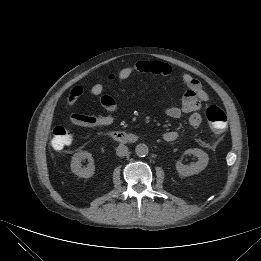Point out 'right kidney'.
Instances as JSON below:
<instances>
[{"label": "right kidney", "mask_w": 261, "mask_h": 261, "mask_svg": "<svg viewBox=\"0 0 261 261\" xmlns=\"http://www.w3.org/2000/svg\"><path fill=\"white\" fill-rule=\"evenodd\" d=\"M84 159H88L89 161V164L86 168L81 167V161ZM70 167L71 171L81 178H90L95 172L92 155L87 151H80L75 153L72 157Z\"/></svg>", "instance_id": "ca27d5eb"}]
</instances>
